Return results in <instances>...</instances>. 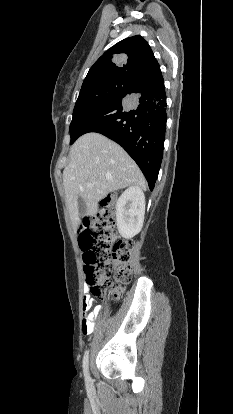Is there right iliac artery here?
Returning a JSON list of instances; mask_svg holds the SVG:
<instances>
[{
	"label": "right iliac artery",
	"instance_id": "1",
	"mask_svg": "<svg viewBox=\"0 0 233 414\" xmlns=\"http://www.w3.org/2000/svg\"><path fill=\"white\" fill-rule=\"evenodd\" d=\"M88 360H89V350H87L84 354L83 357V372H84V377H85V381L88 383L90 382V375H89V370H88Z\"/></svg>",
	"mask_w": 233,
	"mask_h": 414
}]
</instances>
